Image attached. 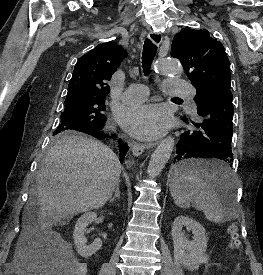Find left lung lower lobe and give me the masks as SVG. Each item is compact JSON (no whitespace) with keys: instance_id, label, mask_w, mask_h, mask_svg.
<instances>
[{"instance_id":"0a47b994","label":"left lung lower lobe","mask_w":263,"mask_h":275,"mask_svg":"<svg viewBox=\"0 0 263 275\" xmlns=\"http://www.w3.org/2000/svg\"><path fill=\"white\" fill-rule=\"evenodd\" d=\"M198 115L202 122L196 124L190 119L184 118L186 123L196 127L186 129L176 145L175 160L183 162L190 158H214L223 161L225 166H231L233 154L231 140L233 134V104L230 90L218 92L204 98L198 104ZM184 165V164H183ZM183 165L175 170V175L187 173ZM195 174L203 179L220 183L224 172L219 169H198Z\"/></svg>"}]
</instances>
